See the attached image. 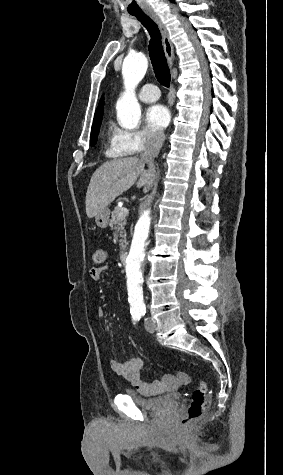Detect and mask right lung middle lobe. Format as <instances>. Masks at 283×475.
<instances>
[{
  "label": "right lung middle lobe",
  "instance_id": "dd1d6c3e",
  "mask_svg": "<svg viewBox=\"0 0 283 475\" xmlns=\"http://www.w3.org/2000/svg\"><path fill=\"white\" fill-rule=\"evenodd\" d=\"M102 116H103V105L97 107L95 115H94V121L92 125L91 139H90L91 146H94L96 144L99 128L102 121Z\"/></svg>",
  "mask_w": 283,
  "mask_h": 475
}]
</instances>
